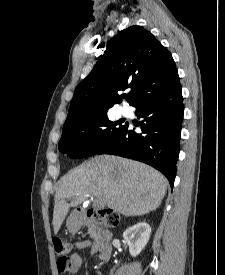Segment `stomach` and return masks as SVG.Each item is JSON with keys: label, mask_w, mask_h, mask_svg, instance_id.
<instances>
[{"label": "stomach", "mask_w": 225, "mask_h": 275, "mask_svg": "<svg viewBox=\"0 0 225 275\" xmlns=\"http://www.w3.org/2000/svg\"><path fill=\"white\" fill-rule=\"evenodd\" d=\"M68 228H69L70 230H76V229H78V226L72 227L71 224H70V221H68Z\"/></svg>", "instance_id": "0dacf381"}]
</instances>
